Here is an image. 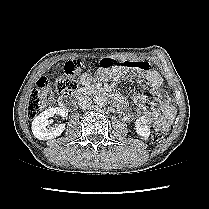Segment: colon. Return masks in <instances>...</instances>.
Wrapping results in <instances>:
<instances>
[{"mask_svg":"<svg viewBox=\"0 0 209 209\" xmlns=\"http://www.w3.org/2000/svg\"><path fill=\"white\" fill-rule=\"evenodd\" d=\"M101 64L111 66L112 61H101ZM128 67L136 66V63H125ZM83 67L77 61H70L65 65L64 74L59 76L54 82V88L58 92H70L78 86V75L82 72ZM53 100L52 83L46 77H41L32 91L27 106V116L34 118L44 107ZM156 138L163 137L167 128L156 130Z\"/></svg>","mask_w":209,"mask_h":209,"instance_id":"1","label":"colon"}]
</instances>
